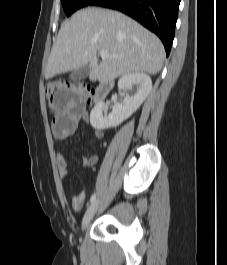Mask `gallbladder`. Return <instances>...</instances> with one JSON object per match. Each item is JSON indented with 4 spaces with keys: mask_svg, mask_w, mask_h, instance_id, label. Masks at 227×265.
I'll return each mask as SVG.
<instances>
[{
    "mask_svg": "<svg viewBox=\"0 0 227 265\" xmlns=\"http://www.w3.org/2000/svg\"><path fill=\"white\" fill-rule=\"evenodd\" d=\"M90 69L89 66H83L79 69L74 70L71 75H70V79L73 81H80L82 79H84L85 77H87V75L89 74Z\"/></svg>",
    "mask_w": 227,
    "mask_h": 265,
    "instance_id": "obj_1",
    "label": "gallbladder"
}]
</instances>
